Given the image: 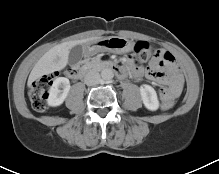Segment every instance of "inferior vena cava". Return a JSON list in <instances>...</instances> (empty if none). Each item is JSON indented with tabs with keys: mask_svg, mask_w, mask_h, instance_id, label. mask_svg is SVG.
Returning a JSON list of instances; mask_svg holds the SVG:
<instances>
[{
	"mask_svg": "<svg viewBox=\"0 0 219 174\" xmlns=\"http://www.w3.org/2000/svg\"><path fill=\"white\" fill-rule=\"evenodd\" d=\"M100 74L95 71H90L86 74L84 78V82L88 86H94L100 82Z\"/></svg>",
	"mask_w": 219,
	"mask_h": 174,
	"instance_id": "1",
	"label": "inferior vena cava"
}]
</instances>
